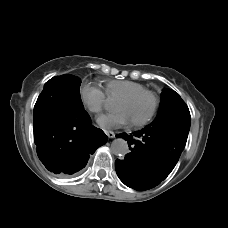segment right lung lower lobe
<instances>
[{"label":"right lung lower lobe","instance_id":"98d812e1","mask_svg":"<svg viewBox=\"0 0 228 228\" xmlns=\"http://www.w3.org/2000/svg\"><path fill=\"white\" fill-rule=\"evenodd\" d=\"M33 126L38 157L54 173L81 170L89 155L107 141L105 133L91 124L83 105L61 104L55 96L35 105Z\"/></svg>","mask_w":228,"mask_h":228}]
</instances>
